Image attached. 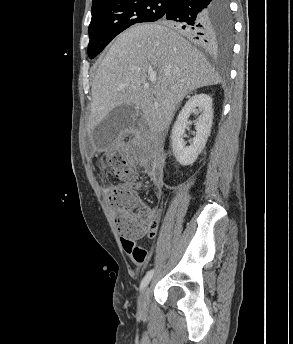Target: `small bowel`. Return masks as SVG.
Returning <instances> with one entry per match:
<instances>
[{
  "label": "small bowel",
  "mask_w": 293,
  "mask_h": 344,
  "mask_svg": "<svg viewBox=\"0 0 293 344\" xmlns=\"http://www.w3.org/2000/svg\"><path fill=\"white\" fill-rule=\"evenodd\" d=\"M106 191L108 192V190ZM138 239L139 238L130 239L125 236H121L120 242L124 251L132 261L138 266H143L149 258V252L145 246L137 243Z\"/></svg>",
  "instance_id": "obj_1"
}]
</instances>
